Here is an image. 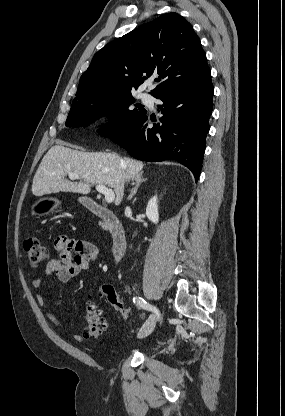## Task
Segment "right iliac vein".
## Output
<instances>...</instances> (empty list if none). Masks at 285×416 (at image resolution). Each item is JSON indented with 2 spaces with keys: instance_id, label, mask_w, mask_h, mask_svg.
I'll use <instances>...</instances> for the list:
<instances>
[{
  "instance_id": "obj_1",
  "label": "right iliac vein",
  "mask_w": 285,
  "mask_h": 416,
  "mask_svg": "<svg viewBox=\"0 0 285 416\" xmlns=\"http://www.w3.org/2000/svg\"><path fill=\"white\" fill-rule=\"evenodd\" d=\"M156 324V316H151L143 325V327L141 328V330L138 333V338H143L148 336L155 327Z\"/></svg>"
}]
</instances>
